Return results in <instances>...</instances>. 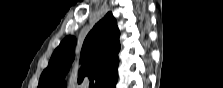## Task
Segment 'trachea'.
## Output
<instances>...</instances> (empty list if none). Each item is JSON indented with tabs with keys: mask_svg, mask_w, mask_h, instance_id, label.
Masks as SVG:
<instances>
[{
	"mask_svg": "<svg viewBox=\"0 0 223 88\" xmlns=\"http://www.w3.org/2000/svg\"><path fill=\"white\" fill-rule=\"evenodd\" d=\"M93 86H94V82L91 81L90 84H89V87H90V88H93Z\"/></svg>",
	"mask_w": 223,
	"mask_h": 88,
	"instance_id": "3493384b",
	"label": "trachea"
}]
</instances>
